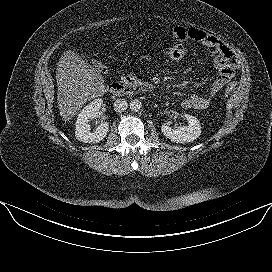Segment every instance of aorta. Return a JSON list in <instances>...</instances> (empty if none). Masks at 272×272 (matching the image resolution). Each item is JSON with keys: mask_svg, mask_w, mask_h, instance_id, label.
<instances>
[{"mask_svg": "<svg viewBox=\"0 0 272 272\" xmlns=\"http://www.w3.org/2000/svg\"><path fill=\"white\" fill-rule=\"evenodd\" d=\"M129 106H130L131 111L138 112L142 108V103L139 99H134L130 102Z\"/></svg>", "mask_w": 272, "mask_h": 272, "instance_id": "obj_1", "label": "aorta"}]
</instances>
